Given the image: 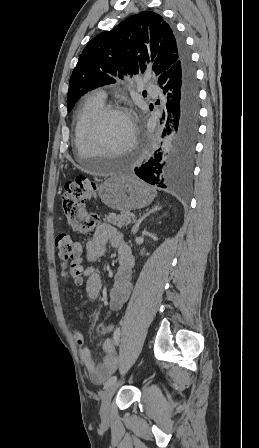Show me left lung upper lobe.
Segmentation results:
<instances>
[{
  "mask_svg": "<svg viewBox=\"0 0 259 448\" xmlns=\"http://www.w3.org/2000/svg\"><path fill=\"white\" fill-rule=\"evenodd\" d=\"M180 57L178 38L162 16L152 11L130 16L86 45L70 78L67 109L89 90L115 83L113 77L137 74L139 68L143 73L149 65L162 74Z\"/></svg>",
  "mask_w": 259,
  "mask_h": 448,
  "instance_id": "left-lung-upper-lobe-1",
  "label": "left lung upper lobe"
}]
</instances>
